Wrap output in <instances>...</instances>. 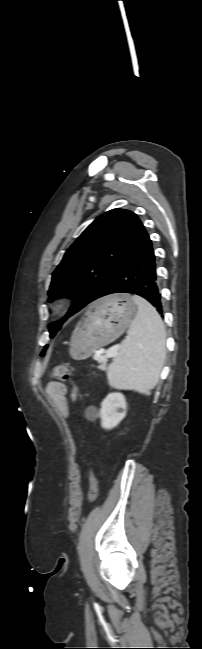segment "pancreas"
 I'll return each mask as SVG.
<instances>
[{"mask_svg": "<svg viewBox=\"0 0 202 649\" xmlns=\"http://www.w3.org/2000/svg\"><path fill=\"white\" fill-rule=\"evenodd\" d=\"M98 368L103 371L107 370V359L100 361Z\"/></svg>", "mask_w": 202, "mask_h": 649, "instance_id": "1", "label": "pancreas"}]
</instances>
